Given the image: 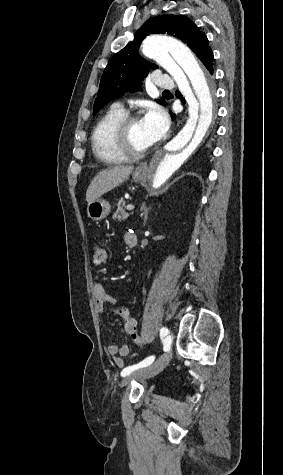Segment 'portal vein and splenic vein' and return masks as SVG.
Instances as JSON below:
<instances>
[{"mask_svg":"<svg viewBox=\"0 0 283 475\" xmlns=\"http://www.w3.org/2000/svg\"><path fill=\"white\" fill-rule=\"evenodd\" d=\"M127 210H134V206L132 204H129V206H126Z\"/></svg>","mask_w":283,"mask_h":475,"instance_id":"portal-vein-and-splenic-vein-1","label":"portal vein and splenic vein"}]
</instances>
